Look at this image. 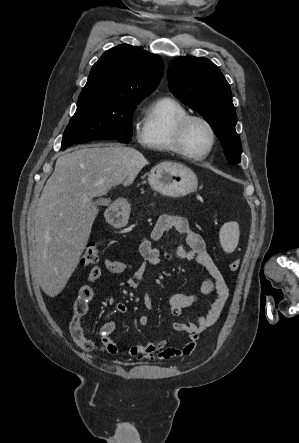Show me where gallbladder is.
Masks as SVG:
<instances>
[{
	"instance_id": "obj_1",
	"label": "gallbladder",
	"mask_w": 299,
	"mask_h": 443,
	"mask_svg": "<svg viewBox=\"0 0 299 443\" xmlns=\"http://www.w3.org/2000/svg\"><path fill=\"white\" fill-rule=\"evenodd\" d=\"M97 204L98 205L107 206V205H109V200H107V199H100V200L97 201Z\"/></svg>"
}]
</instances>
